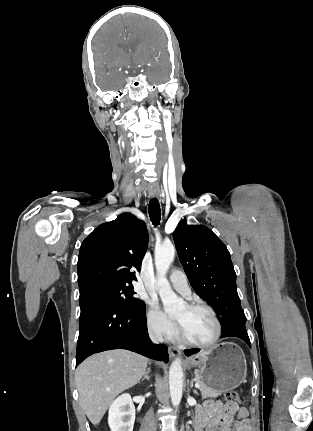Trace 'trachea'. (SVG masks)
Wrapping results in <instances>:
<instances>
[{
    "label": "trachea",
    "instance_id": "1",
    "mask_svg": "<svg viewBox=\"0 0 313 431\" xmlns=\"http://www.w3.org/2000/svg\"><path fill=\"white\" fill-rule=\"evenodd\" d=\"M149 216L154 226L159 225L161 219V209L157 198H153L149 202Z\"/></svg>",
    "mask_w": 313,
    "mask_h": 431
}]
</instances>
